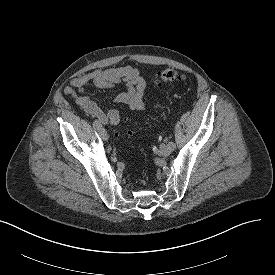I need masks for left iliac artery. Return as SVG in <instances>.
Masks as SVG:
<instances>
[{"instance_id":"44dca946","label":"left iliac artery","mask_w":275,"mask_h":275,"mask_svg":"<svg viewBox=\"0 0 275 275\" xmlns=\"http://www.w3.org/2000/svg\"><path fill=\"white\" fill-rule=\"evenodd\" d=\"M168 145L172 148V150H174L176 147L174 142H169Z\"/></svg>"}]
</instances>
